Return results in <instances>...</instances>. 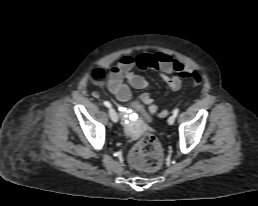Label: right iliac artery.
<instances>
[{
	"label": "right iliac artery",
	"mask_w": 258,
	"mask_h": 206,
	"mask_svg": "<svg viewBox=\"0 0 258 206\" xmlns=\"http://www.w3.org/2000/svg\"><path fill=\"white\" fill-rule=\"evenodd\" d=\"M104 105H105L106 107H108V108L111 107V104H110V102H108V101H104Z\"/></svg>",
	"instance_id": "82829eb1"
}]
</instances>
